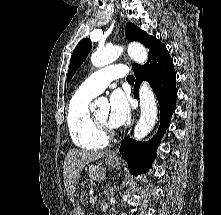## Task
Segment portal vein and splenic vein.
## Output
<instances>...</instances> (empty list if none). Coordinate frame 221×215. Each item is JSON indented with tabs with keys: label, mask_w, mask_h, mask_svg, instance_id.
I'll return each mask as SVG.
<instances>
[{
	"label": "portal vein and splenic vein",
	"mask_w": 221,
	"mask_h": 215,
	"mask_svg": "<svg viewBox=\"0 0 221 215\" xmlns=\"http://www.w3.org/2000/svg\"><path fill=\"white\" fill-rule=\"evenodd\" d=\"M91 194H93V193H91ZM90 198L92 199L91 201H94L96 199V197H93V196H91Z\"/></svg>",
	"instance_id": "obj_1"
}]
</instances>
